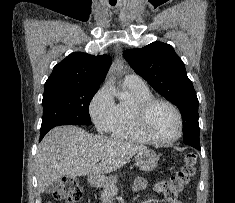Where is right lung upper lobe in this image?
<instances>
[{
  "instance_id": "1",
  "label": "right lung upper lobe",
  "mask_w": 235,
  "mask_h": 203,
  "mask_svg": "<svg viewBox=\"0 0 235 203\" xmlns=\"http://www.w3.org/2000/svg\"><path fill=\"white\" fill-rule=\"evenodd\" d=\"M112 63L108 55L94 56L75 52L54 66L45 88L59 85L100 86Z\"/></svg>"
}]
</instances>
